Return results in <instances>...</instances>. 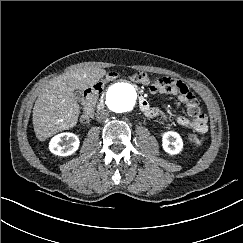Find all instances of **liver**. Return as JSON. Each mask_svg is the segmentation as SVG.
<instances>
[{
	"label": "liver",
	"mask_w": 243,
	"mask_h": 243,
	"mask_svg": "<svg viewBox=\"0 0 243 243\" xmlns=\"http://www.w3.org/2000/svg\"><path fill=\"white\" fill-rule=\"evenodd\" d=\"M106 74L97 67H84L51 79L42 88L33 108V127L39 141L59 131L73 128L78 121L80 106L75 90H86Z\"/></svg>",
	"instance_id": "liver-1"
}]
</instances>
